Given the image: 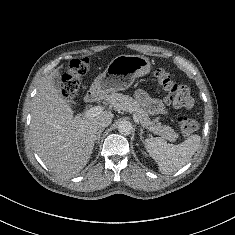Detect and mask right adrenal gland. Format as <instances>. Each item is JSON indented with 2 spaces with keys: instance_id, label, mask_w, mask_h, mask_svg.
<instances>
[{
  "instance_id": "right-adrenal-gland-1",
  "label": "right adrenal gland",
  "mask_w": 235,
  "mask_h": 235,
  "mask_svg": "<svg viewBox=\"0 0 235 235\" xmlns=\"http://www.w3.org/2000/svg\"><path fill=\"white\" fill-rule=\"evenodd\" d=\"M104 131V128H101L98 132H97V135L95 137V143L96 144H99L100 143V137H101V134L102 132Z\"/></svg>"
}]
</instances>
